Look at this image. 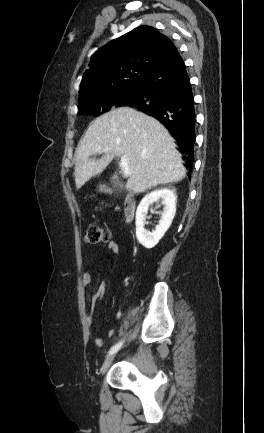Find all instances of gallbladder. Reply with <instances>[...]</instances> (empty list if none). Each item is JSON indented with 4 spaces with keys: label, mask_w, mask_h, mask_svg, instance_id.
Wrapping results in <instances>:
<instances>
[{
    "label": "gallbladder",
    "mask_w": 264,
    "mask_h": 433,
    "mask_svg": "<svg viewBox=\"0 0 264 433\" xmlns=\"http://www.w3.org/2000/svg\"><path fill=\"white\" fill-rule=\"evenodd\" d=\"M111 181H112V184H113V186H114L115 188H117V189H121V188H123V185L119 182V180L117 179V177L112 176V177H111Z\"/></svg>",
    "instance_id": "gallbladder-1"
}]
</instances>
